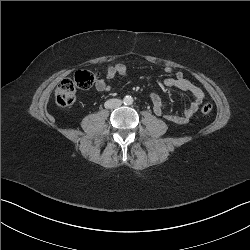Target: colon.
I'll use <instances>...</instances> for the list:
<instances>
[{"label": "colon", "mask_w": 250, "mask_h": 250, "mask_svg": "<svg viewBox=\"0 0 250 250\" xmlns=\"http://www.w3.org/2000/svg\"><path fill=\"white\" fill-rule=\"evenodd\" d=\"M97 79V75L89 71H78L73 78L62 80L55 92L56 103L61 107H68L77 100L78 90L90 88ZM212 106L205 103L201 107L203 115L207 116L211 113Z\"/></svg>", "instance_id": "colon-1"}]
</instances>
